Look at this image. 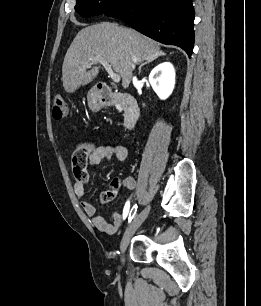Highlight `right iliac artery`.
<instances>
[{
	"label": "right iliac artery",
	"instance_id": "82829eb1",
	"mask_svg": "<svg viewBox=\"0 0 261 306\" xmlns=\"http://www.w3.org/2000/svg\"><path fill=\"white\" fill-rule=\"evenodd\" d=\"M129 206H130L129 201H127L126 204H125V207H124V211H123L124 219H125V218L127 217V215H128ZM137 207H138L137 204H135V205L132 207V209H131V211H130V213H129L128 223H130V222L132 221V219L134 218V216H135V214H136V212H137Z\"/></svg>",
	"mask_w": 261,
	"mask_h": 306
}]
</instances>
